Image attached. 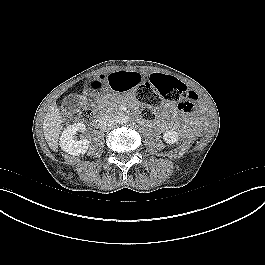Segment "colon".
<instances>
[{"instance_id":"1","label":"colon","mask_w":265,"mask_h":265,"mask_svg":"<svg viewBox=\"0 0 265 265\" xmlns=\"http://www.w3.org/2000/svg\"><path fill=\"white\" fill-rule=\"evenodd\" d=\"M149 83L141 85L136 91V99L141 105V116L147 121L157 119L156 110L161 108L164 101L174 103L179 111L192 112L198 107V96L180 80L165 76L155 70L149 74ZM74 119L89 121L94 117L92 108H83L71 114Z\"/></svg>"}]
</instances>
